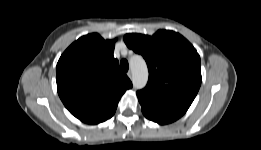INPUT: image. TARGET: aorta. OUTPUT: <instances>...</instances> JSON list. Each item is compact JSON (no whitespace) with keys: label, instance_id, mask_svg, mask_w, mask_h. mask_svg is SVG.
Segmentation results:
<instances>
[{"label":"aorta","instance_id":"obj_1","mask_svg":"<svg viewBox=\"0 0 261 150\" xmlns=\"http://www.w3.org/2000/svg\"><path fill=\"white\" fill-rule=\"evenodd\" d=\"M132 71V83L136 89L145 87L148 81V69L145 60L140 55H134L129 60Z\"/></svg>","mask_w":261,"mask_h":150}]
</instances>
